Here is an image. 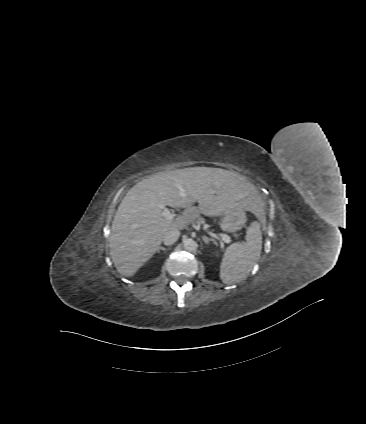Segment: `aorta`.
I'll use <instances>...</instances> for the list:
<instances>
[{"label":"aorta","instance_id":"obj_1","mask_svg":"<svg viewBox=\"0 0 366 424\" xmlns=\"http://www.w3.org/2000/svg\"><path fill=\"white\" fill-rule=\"evenodd\" d=\"M183 244L184 248L188 251H193L197 248V243L191 238L184 239Z\"/></svg>","mask_w":366,"mask_h":424}]
</instances>
